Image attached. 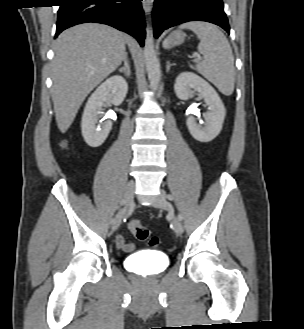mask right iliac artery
I'll return each instance as SVG.
<instances>
[{"mask_svg":"<svg viewBox=\"0 0 304 329\" xmlns=\"http://www.w3.org/2000/svg\"><path fill=\"white\" fill-rule=\"evenodd\" d=\"M125 203H126V199H125V198L122 199V200L120 201V205H121V206L124 205ZM117 216H118V215H117ZM117 216H116L115 218H112V219H111V224H113V223L115 222Z\"/></svg>","mask_w":304,"mask_h":329,"instance_id":"obj_1","label":"right iliac artery"}]
</instances>
